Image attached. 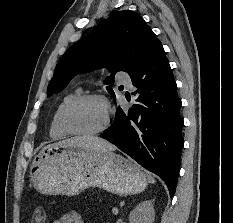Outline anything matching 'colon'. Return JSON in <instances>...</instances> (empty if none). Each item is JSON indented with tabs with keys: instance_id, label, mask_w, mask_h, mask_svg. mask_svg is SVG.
<instances>
[{
	"instance_id": "1",
	"label": "colon",
	"mask_w": 233,
	"mask_h": 223,
	"mask_svg": "<svg viewBox=\"0 0 233 223\" xmlns=\"http://www.w3.org/2000/svg\"><path fill=\"white\" fill-rule=\"evenodd\" d=\"M39 213H35L34 219H33V223H44L45 219H44V215L41 213L42 210L39 209L38 210Z\"/></svg>"
}]
</instances>
